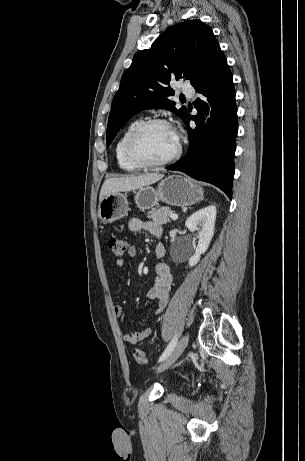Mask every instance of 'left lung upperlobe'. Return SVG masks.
<instances>
[{
	"mask_svg": "<svg viewBox=\"0 0 305 461\" xmlns=\"http://www.w3.org/2000/svg\"><path fill=\"white\" fill-rule=\"evenodd\" d=\"M221 51L211 28L187 20L168 28L148 50L140 51L124 72L113 98L106 131L109 145L117 131L144 109H167L182 120L187 108H175L171 80L189 79L194 86Z\"/></svg>",
	"mask_w": 305,
	"mask_h": 461,
	"instance_id": "left-lung-upper-lobe-1",
	"label": "left lung upper lobe"
}]
</instances>
